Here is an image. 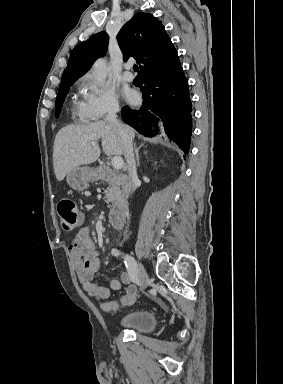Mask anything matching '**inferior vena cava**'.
Segmentation results:
<instances>
[{
	"mask_svg": "<svg viewBox=\"0 0 283 384\" xmlns=\"http://www.w3.org/2000/svg\"><path fill=\"white\" fill-rule=\"evenodd\" d=\"M120 108L118 104H112L108 110V114L105 118L106 122H111L114 124L116 128L119 130L120 138L123 142L124 146V156L126 158V162L128 164V172L130 178V186L131 192H135L136 190V180H137V172H136V164L135 158L133 154V144L131 138H129L128 134H126L125 130H123L120 122L117 120V112H119ZM126 234V232H125Z\"/></svg>",
	"mask_w": 283,
	"mask_h": 384,
	"instance_id": "inferior-vena-cava-1",
	"label": "inferior vena cava"
}]
</instances>
